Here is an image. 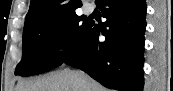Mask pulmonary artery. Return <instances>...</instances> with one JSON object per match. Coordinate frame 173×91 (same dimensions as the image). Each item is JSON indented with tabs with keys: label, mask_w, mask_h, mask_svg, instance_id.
<instances>
[{
	"label": "pulmonary artery",
	"mask_w": 173,
	"mask_h": 91,
	"mask_svg": "<svg viewBox=\"0 0 173 91\" xmlns=\"http://www.w3.org/2000/svg\"><path fill=\"white\" fill-rule=\"evenodd\" d=\"M85 11L88 13V12H90V11H91V9H86Z\"/></svg>",
	"instance_id": "obj_1"
}]
</instances>
